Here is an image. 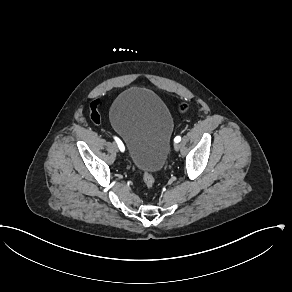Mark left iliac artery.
Here are the masks:
<instances>
[{
	"instance_id": "44dca946",
	"label": "left iliac artery",
	"mask_w": 292,
	"mask_h": 292,
	"mask_svg": "<svg viewBox=\"0 0 292 292\" xmlns=\"http://www.w3.org/2000/svg\"><path fill=\"white\" fill-rule=\"evenodd\" d=\"M180 140H181V137L180 136H176L174 138V142H176V143L180 142Z\"/></svg>"
}]
</instances>
